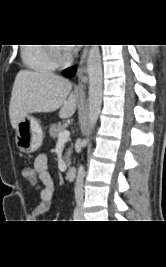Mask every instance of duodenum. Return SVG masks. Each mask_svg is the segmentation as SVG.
<instances>
[{
	"mask_svg": "<svg viewBox=\"0 0 166 267\" xmlns=\"http://www.w3.org/2000/svg\"><path fill=\"white\" fill-rule=\"evenodd\" d=\"M65 176L68 180H73L76 177V168L74 166L69 167Z\"/></svg>",
	"mask_w": 166,
	"mask_h": 267,
	"instance_id": "obj_1",
	"label": "duodenum"
}]
</instances>
